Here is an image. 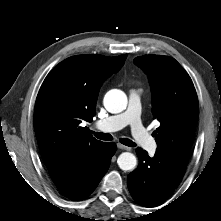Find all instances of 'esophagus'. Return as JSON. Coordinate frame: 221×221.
I'll return each mask as SVG.
<instances>
[{
  "mask_svg": "<svg viewBox=\"0 0 221 221\" xmlns=\"http://www.w3.org/2000/svg\"><path fill=\"white\" fill-rule=\"evenodd\" d=\"M117 147H118L119 149L126 150V151H130V150H131L130 147L125 146V145L120 144V143L117 144Z\"/></svg>",
  "mask_w": 221,
  "mask_h": 221,
  "instance_id": "34e87169",
  "label": "esophagus"
}]
</instances>
